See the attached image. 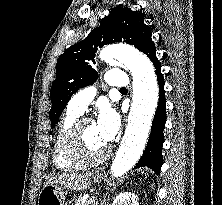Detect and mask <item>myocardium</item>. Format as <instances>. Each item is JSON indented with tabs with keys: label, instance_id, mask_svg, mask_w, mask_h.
Masks as SVG:
<instances>
[{
	"label": "myocardium",
	"instance_id": "1",
	"mask_svg": "<svg viewBox=\"0 0 222 205\" xmlns=\"http://www.w3.org/2000/svg\"><path fill=\"white\" fill-rule=\"evenodd\" d=\"M92 122L88 117L78 118L68 130L65 137V149L68 156L81 165H95L103 162L111 153V146L97 156H87L81 147V131L86 123Z\"/></svg>",
	"mask_w": 222,
	"mask_h": 205
}]
</instances>
